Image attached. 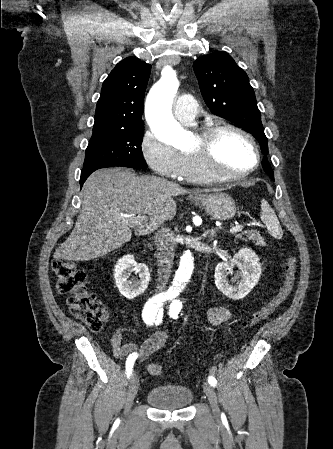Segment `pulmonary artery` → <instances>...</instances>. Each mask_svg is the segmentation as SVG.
<instances>
[{
    "instance_id": "pulmonary-artery-1",
    "label": "pulmonary artery",
    "mask_w": 333,
    "mask_h": 449,
    "mask_svg": "<svg viewBox=\"0 0 333 449\" xmlns=\"http://www.w3.org/2000/svg\"><path fill=\"white\" fill-rule=\"evenodd\" d=\"M174 115L178 121L186 125L194 124L197 116V103L191 95L180 96L174 106Z\"/></svg>"
}]
</instances>
